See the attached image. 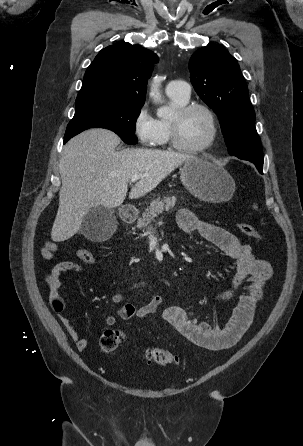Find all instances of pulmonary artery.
<instances>
[{
  "label": "pulmonary artery",
  "instance_id": "1",
  "mask_svg": "<svg viewBox=\"0 0 303 446\" xmlns=\"http://www.w3.org/2000/svg\"><path fill=\"white\" fill-rule=\"evenodd\" d=\"M167 94L189 98L190 85L184 80H171L166 87Z\"/></svg>",
  "mask_w": 303,
  "mask_h": 446
}]
</instances>
